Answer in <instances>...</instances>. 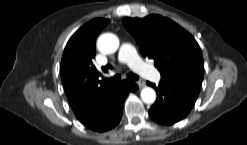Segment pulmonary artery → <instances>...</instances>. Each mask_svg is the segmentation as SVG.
Listing matches in <instances>:
<instances>
[{"instance_id":"pulmonary-artery-1","label":"pulmonary artery","mask_w":247,"mask_h":145,"mask_svg":"<svg viewBox=\"0 0 247 145\" xmlns=\"http://www.w3.org/2000/svg\"><path fill=\"white\" fill-rule=\"evenodd\" d=\"M118 61L127 63L135 72L152 81L160 79V73L154 68L145 64L137 55L135 48L130 44H123L119 54Z\"/></svg>"}]
</instances>
